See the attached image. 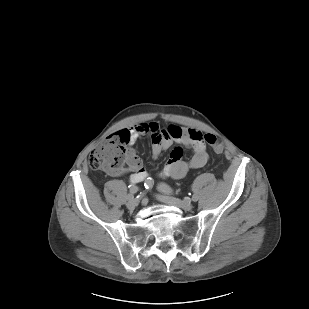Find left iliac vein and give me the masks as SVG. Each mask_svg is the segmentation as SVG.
Here are the masks:
<instances>
[{"label": "left iliac vein", "instance_id": "obj_1", "mask_svg": "<svg viewBox=\"0 0 309 309\" xmlns=\"http://www.w3.org/2000/svg\"><path fill=\"white\" fill-rule=\"evenodd\" d=\"M158 199L164 203L176 206L178 208H182L185 211H190L193 208V205L189 202H184L180 199L168 196V195H159Z\"/></svg>", "mask_w": 309, "mask_h": 309}]
</instances>
